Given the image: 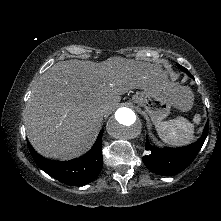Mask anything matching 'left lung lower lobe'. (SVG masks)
Instances as JSON below:
<instances>
[{
  "label": "left lung lower lobe",
  "mask_w": 221,
  "mask_h": 221,
  "mask_svg": "<svg viewBox=\"0 0 221 221\" xmlns=\"http://www.w3.org/2000/svg\"><path fill=\"white\" fill-rule=\"evenodd\" d=\"M190 77L191 74L186 68L182 69ZM208 134V121L204 127L200 139L191 145L181 148H155L146 139L145 149L150 153L142 157L145 166L152 172L159 175H174L186 169L195 159L200 151Z\"/></svg>",
  "instance_id": "left-lung-lower-lobe-1"
}]
</instances>
